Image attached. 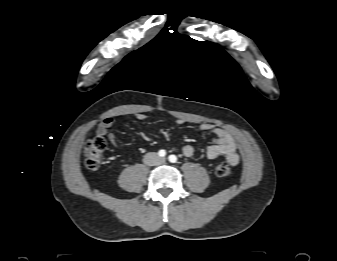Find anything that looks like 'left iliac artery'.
<instances>
[{
	"mask_svg": "<svg viewBox=\"0 0 337 261\" xmlns=\"http://www.w3.org/2000/svg\"><path fill=\"white\" fill-rule=\"evenodd\" d=\"M168 159H169V161H170L171 163H176V162H177V157H176L175 155H170V156L168 157Z\"/></svg>",
	"mask_w": 337,
	"mask_h": 261,
	"instance_id": "1",
	"label": "left iliac artery"
}]
</instances>
